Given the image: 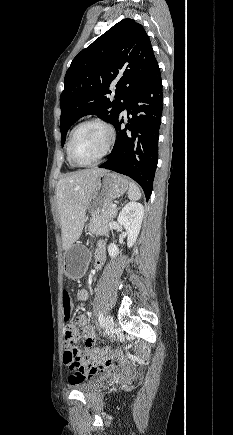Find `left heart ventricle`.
I'll return each mask as SVG.
<instances>
[{
  "mask_svg": "<svg viewBox=\"0 0 233 435\" xmlns=\"http://www.w3.org/2000/svg\"><path fill=\"white\" fill-rule=\"evenodd\" d=\"M107 142V133L98 125H86L75 134L72 144L74 158L79 163L94 161L103 151Z\"/></svg>",
  "mask_w": 233,
  "mask_h": 435,
  "instance_id": "left-heart-ventricle-1",
  "label": "left heart ventricle"
}]
</instances>
